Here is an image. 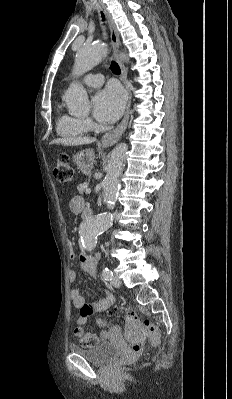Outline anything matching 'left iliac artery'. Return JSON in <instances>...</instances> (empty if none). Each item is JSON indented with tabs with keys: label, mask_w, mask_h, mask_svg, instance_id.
I'll return each mask as SVG.
<instances>
[{
	"label": "left iliac artery",
	"mask_w": 232,
	"mask_h": 399,
	"mask_svg": "<svg viewBox=\"0 0 232 399\" xmlns=\"http://www.w3.org/2000/svg\"><path fill=\"white\" fill-rule=\"evenodd\" d=\"M103 276L107 281H111L113 278V272L110 270L109 267L105 266L103 268Z\"/></svg>",
	"instance_id": "left-iliac-artery-1"
}]
</instances>
